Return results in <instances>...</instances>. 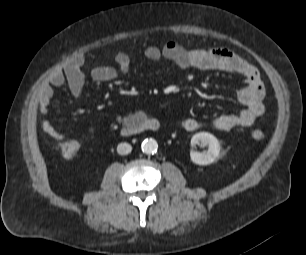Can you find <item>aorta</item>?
Here are the masks:
<instances>
[{
  "instance_id": "1",
  "label": "aorta",
  "mask_w": 306,
  "mask_h": 255,
  "mask_svg": "<svg viewBox=\"0 0 306 255\" xmlns=\"http://www.w3.org/2000/svg\"><path fill=\"white\" fill-rule=\"evenodd\" d=\"M158 144L154 139H146L142 142L141 150L145 154H153L157 151Z\"/></svg>"
}]
</instances>
